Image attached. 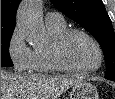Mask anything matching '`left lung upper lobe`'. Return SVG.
<instances>
[{
    "mask_svg": "<svg viewBox=\"0 0 115 99\" xmlns=\"http://www.w3.org/2000/svg\"><path fill=\"white\" fill-rule=\"evenodd\" d=\"M51 2L95 37L104 53L105 77L115 81V33L102 0H51Z\"/></svg>",
    "mask_w": 115,
    "mask_h": 99,
    "instance_id": "1",
    "label": "left lung upper lobe"
}]
</instances>
